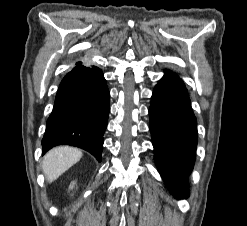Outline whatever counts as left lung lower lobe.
<instances>
[{
    "label": "left lung lower lobe",
    "mask_w": 247,
    "mask_h": 226,
    "mask_svg": "<svg viewBox=\"0 0 247 226\" xmlns=\"http://www.w3.org/2000/svg\"><path fill=\"white\" fill-rule=\"evenodd\" d=\"M150 131L158 170L172 193L188 197L187 178L193 169L197 123L183 81L169 71L152 95Z\"/></svg>",
    "instance_id": "obj_1"
}]
</instances>
